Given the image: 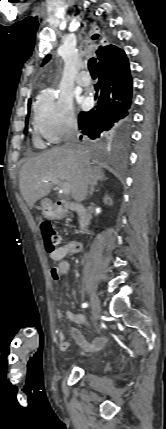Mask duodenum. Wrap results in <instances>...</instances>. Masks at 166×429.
<instances>
[{
    "mask_svg": "<svg viewBox=\"0 0 166 429\" xmlns=\"http://www.w3.org/2000/svg\"><path fill=\"white\" fill-rule=\"evenodd\" d=\"M57 217H64L68 212L74 211L78 215L79 232L85 233L89 227L91 216L88 209L82 204L58 200L53 205Z\"/></svg>",
    "mask_w": 166,
    "mask_h": 429,
    "instance_id": "410a0bca",
    "label": "duodenum"
}]
</instances>
